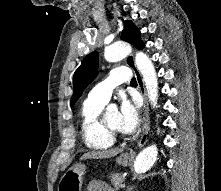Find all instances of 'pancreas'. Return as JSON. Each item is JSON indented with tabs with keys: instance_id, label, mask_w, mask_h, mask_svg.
<instances>
[{
	"instance_id": "cf45deb5",
	"label": "pancreas",
	"mask_w": 221,
	"mask_h": 191,
	"mask_svg": "<svg viewBox=\"0 0 221 191\" xmlns=\"http://www.w3.org/2000/svg\"><path fill=\"white\" fill-rule=\"evenodd\" d=\"M109 178L111 180L112 185L116 189H118L125 180V178L122 176V174H119V173L110 174Z\"/></svg>"
}]
</instances>
